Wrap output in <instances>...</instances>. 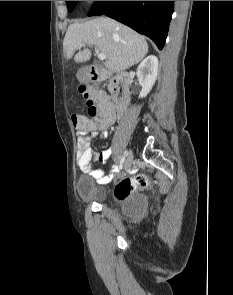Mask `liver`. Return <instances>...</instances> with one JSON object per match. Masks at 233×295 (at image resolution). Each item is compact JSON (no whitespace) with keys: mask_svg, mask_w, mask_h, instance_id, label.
I'll return each mask as SVG.
<instances>
[{"mask_svg":"<svg viewBox=\"0 0 233 295\" xmlns=\"http://www.w3.org/2000/svg\"><path fill=\"white\" fill-rule=\"evenodd\" d=\"M81 43L96 46L108 60L106 68L113 72L126 70L139 63L148 53V44L143 36L108 17H98L85 23L70 24L63 41V53L71 59ZM91 51L80 50L74 57L76 63L89 61Z\"/></svg>","mask_w":233,"mask_h":295,"instance_id":"liver-1","label":"liver"}]
</instances>
